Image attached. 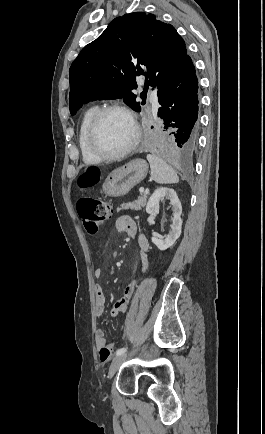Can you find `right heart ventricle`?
<instances>
[{"instance_id": "obj_1", "label": "right heart ventricle", "mask_w": 265, "mask_h": 434, "mask_svg": "<svg viewBox=\"0 0 265 434\" xmlns=\"http://www.w3.org/2000/svg\"><path fill=\"white\" fill-rule=\"evenodd\" d=\"M98 109L99 107L96 105L89 106L85 109L80 119L77 145L80 159L85 166H95L102 162V159L92 151L88 141L91 122Z\"/></svg>"}]
</instances>
